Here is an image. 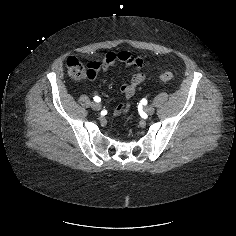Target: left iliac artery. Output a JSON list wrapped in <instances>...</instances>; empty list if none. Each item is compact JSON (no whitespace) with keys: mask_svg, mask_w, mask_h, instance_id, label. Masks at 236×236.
<instances>
[{"mask_svg":"<svg viewBox=\"0 0 236 236\" xmlns=\"http://www.w3.org/2000/svg\"><path fill=\"white\" fill-rule=\"evenodd\" d=\"M146 102H147L146 99H142L143 104H146Z\"/></svg>","mask_w":236,"mask_h":236,"instance_id":"1","label":"left iliac artery"}]
</instances>
